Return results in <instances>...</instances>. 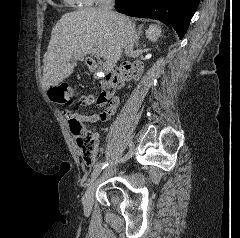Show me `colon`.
<instances>
[{
	"instance_id": "5ec220e1",
	"label": "colon",
	"mask_w": 240,
	"mask_h": 238,
	"mask_svg": "<svg viewBox=\"0 0 240 238\" xmlns=\"http://www.w3.org/2000/svg\"><path fill=\"white\" fill-rule=\"evenodd\" d=\"M141 72V67L135 64L109 72L105 80L100 84L101 94L98 102L100 104H110L117 89L122 87L125 82L139 77ZM48 95L56 103L69 104L73 100L74 88L68 83H61L50 87ZM69 127L76 138V143L83 160L88 164L93 163L98 156V141L94 133L76 118L69 119Z\"/></svg>"
}]
</instances>
